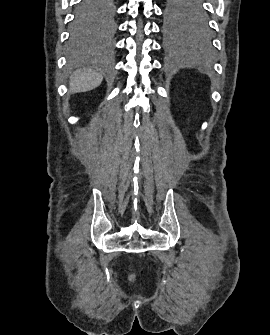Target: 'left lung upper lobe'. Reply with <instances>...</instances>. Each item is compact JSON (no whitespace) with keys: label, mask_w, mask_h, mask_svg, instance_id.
<instances>
[{"label":"left lung upper lobe","mask_w":270,"mask_h":335,"mask_svg":"<svg viewBox=\"0 0 270 335\" xmlns=\"http://www.w3.org/2000/svg\"><path fill=\"white\" fill-rule=\"evenodd\" d=\"M165 29L169 33L206 30L207 14L204 0H166Z\"/></svg>","instance_id":"left-lung-upper-lobe-1"}]
</instances>
